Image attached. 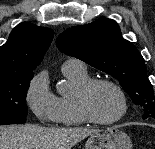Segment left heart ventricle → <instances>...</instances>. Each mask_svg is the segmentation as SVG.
Returning a JSON list of instances; mask_svg holds the SVG:
<instances>
[{
  "instance_id": "left-heart-ventricle-1",
  "label": "left heart ventricle",
  "mask_w": 155,
  "mask_h": 149,
  "mask_svg": "<svg viewBox=\"0 0 155 149\" xmlns=\"http://www.w3.org/2000/svg\"><path fill=\"white\" fill-rule=\"evenodd\" d=\"M90 107L99 119L109 120L120 113L122 103L120 96L112 87L99 85L90 95Z\"/></svg>"
}]
</instances>
